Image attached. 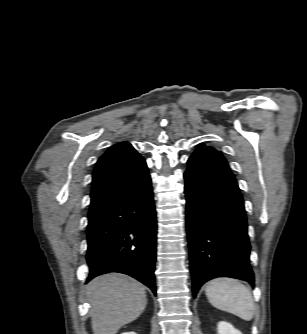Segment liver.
<instances>
[{
	"label": "liver",
	"mask_w": 307,
	"mask_h": 334,
	"mask_svg": "<svg viewBox=\"0 0 307 334\" xmlns=\"http://www.w3.org/2000/svg\"><path fill=\"white\" fill-rule=\"evenodd\" d=\"M86 294L94 334H116L122 326L137 319L147 304L143 285L117 273L90 281Z\"/></svg>",
	"instance_id": "liver-1"
}]
</instances>
